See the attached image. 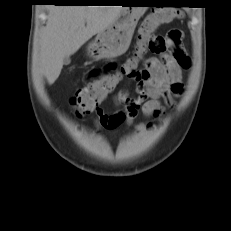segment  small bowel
Returning <instances> with one entry per match:
<instances>
[{
    "label": "small bowel",
    "instance_id": "1",
    "mask_svg": "<svg viewBox=\"0 0 231 231\" xmlns=\"http://www.w3.org/2000/svg\"><path fill=\"white\" fill-rule=\"evenodd\" d=\"M183 33L171 30L164 40L167 49L159 57L145 60L142 68L144 77L135 80V96L128 91H120L114 97L116 111L106 114L102 109L96 110L94 119L96 128L115 129L126 123L132 125L141 112L146 118H158L165 113L167 105L174 103V98L183 93L182 71L191 66V60L182 46ZM116 63H109L102 69H95L91 76L99 77L110 74L118 69ZM155 123L147 122L138 125V129L151 128Z\"/></svg>",
    "mask_w": 231,
    "mask_h": 231
}]
</instances>
